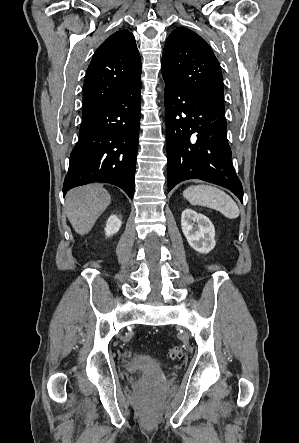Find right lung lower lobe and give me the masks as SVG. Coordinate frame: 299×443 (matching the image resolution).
<instances>
[{"mask_svg":"<svg viewBox=\"0 0 299 443\" xmlns=\"http://www.w3.org/2000/svg\"><path fill=\"white\" fill-rule=\"evenodd\" d=\"M141 82L82 115L80 138L70 155L63 185L67 190L91 182L120 187L132 198L140 126Z\"/></svg>","mask_w":299,"mask_h":443,"instance_id":"98d812e1","label":"right lung lower lobe"}]
</instances>
